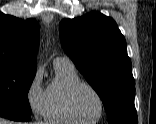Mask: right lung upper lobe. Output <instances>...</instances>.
<instances>
[{
	"label": "right lung upper lobe",
	"mask_w": 156,
	"mask_h": 124,
	"mask_svg": "<svg viewBox=\"0 0 156 124\" xmlns=\"http://www.w3.org/2000/svg\"><path fill=\"white\" fill-rule=\"evenodd\" d=\"M39 25L0 12V66L36 71Z\"/></svg>",
	"instance_id": "right-lung-upper-lobe-1"
}]
</instances>
